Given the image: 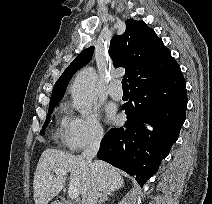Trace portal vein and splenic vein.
I'll return each mask as SVG.
<instances>
[{
  "mask_svg": "<svg viewBox=\"0 0 212 204\" xmlns=\"http://www.w3.org/2000/svg\"><path fill=\"white\" fill-rule=\"evenodd\" d=\"M54 172L57 175L66 176V171H64L63 169H55ZM68 196L71 199H77L79 197L78 189H76L74 187H70L69 190H68Z\"/></svg>",
  "mask_w": 212,
  "mask_h": 204,
  "instance_id": "1",
  "label": "portal vein and splenic vein"
}]
</instances>
